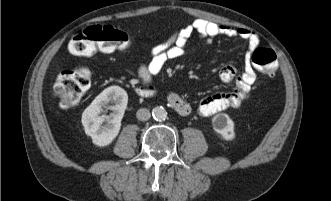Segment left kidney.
<instances>
[{"label": "left kidney", "mask_w": 331, "mask_h": 201, "mask_svg": "<svg viewBox=\"0 0 331 201\" xmlns=\"http://www.w3.org/2000/svg\"><path fill=\"white\" fill-rule=\"evenodd\" d=\"M213 129L219 133L223 139L229 141L235 138L234 122L225 113L217 114L212 119Z\"/></svg>", "instance_id": "obj_1"}]
</instances>
